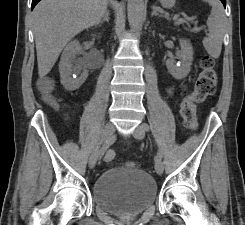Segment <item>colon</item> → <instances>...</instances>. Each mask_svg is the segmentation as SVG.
<instances>
[{"label":"colon","mask_w":245,"mask_h":225,"mask_svg":"<svg viewBox=\"0 0 245 225\" xmlns=\"http://www.w3.org/2000/svg\"><path fill=\"white\" fill-rule=\"evenodd\" d=\"M200 73L197 77L194 88L186 94L181 102V116L184 127L193 131L197 127L196 105L205 101L209 96L213 95L218 84V73L215 69L214 60L208 55H204L199 62ZM52 85L47 84L39 88V92L43 98L52 103L53 97ZM115 158V154L108 152L105 162L109 163ZM131 166H135L134 162H130Z\"/></svg>","instance_id":"colon-1"}]
</instances>
